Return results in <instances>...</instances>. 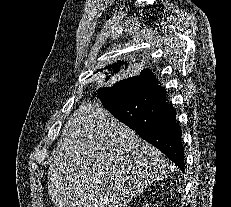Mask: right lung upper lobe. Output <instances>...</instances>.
Segmentation results:
<instances>
[{
    "label": "right lung upper lobe",
    "mask_w": 231,
    "mask_h": 207,
    "mask_svg": "<svg viewBox=\"0 0 231 207\" xmlns=\"http://www.w3.org/2000/svg\"><path fill=\"white\" fill-rule=\"evenodd\" d=\"M128 65H129V62H127V61H125V62L124 61H117L113 64L106 66L105 67V69L107 70L106 74L109 75V76H107V80L122 74V70H123L124 66L127 67Z\"/></svg>",
    "instance_id": "1"
}]
</instances>
